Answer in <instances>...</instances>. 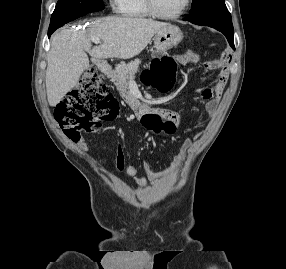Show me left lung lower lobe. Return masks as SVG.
<instances>
[{
  "label": "left lung lower lobe",
  "instance_id": "left-lung-lower-lobe-1",
  "mask_svg": "<svg viewBox=\"0 0 286 269\" xmlns=\"http://www.w3.org/2000/svg\"><path fill=\"white\" fill-rule=\"evenodd\" d=\"M209 27H212V28L222 32L226 36L230 46L233 49H235V47H234V36H233L234 35V31L233 30L227 29V28H224V27H220V26H209Z\"/></svg>",
  "mask_w": 286,
  "mask_h": 269
}]
</instances>
